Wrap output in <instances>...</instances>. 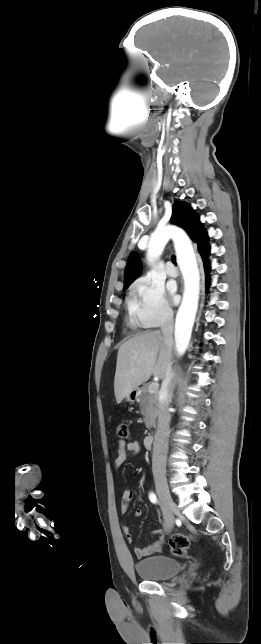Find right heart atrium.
Instances as JSON below:
<instances>
[{
  "label": "right heart atrium",
  "mask_w": 261,
  "mask_h": 644,
  "mask_svg": "<svg viewBox=\"0 0 261 644\" xmlns=\"http://www.w3.org/2000/svg\"><path fill=\"white\" fill-rule=\"evenodd\" d=\"M132 315L143 327L152 328L172 320L173 312L163 286L149 277L135 281L131 289Z\"/></svg>",
  "instance_id": "right-heart-atrium-1"
}]
</instances>
